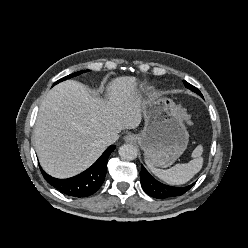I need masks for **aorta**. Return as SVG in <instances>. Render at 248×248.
I'll return each instance as SVG.
<instances>
[{"label":"aorta","mask_w":248,"mask_h":248,"mask_svg":"<svg viewBox=\"0 0 248 248\" xmlns=\"http://www.w3.org/2000/svg\"><path fill=\"white\" fill-rule=\"evenodd\" d=\"M118 152L120 157L124 160H134L138 155L137 148L131 144H123Z\"/></svg>","instance_id":"aorta-1"}]
</instances>
